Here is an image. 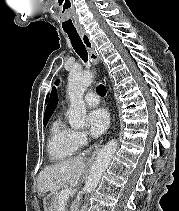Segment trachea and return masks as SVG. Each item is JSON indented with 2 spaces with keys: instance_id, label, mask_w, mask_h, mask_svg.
<instances>
[{
  "instance_id": "3493384b",
  "label": "trachea",
  "mask_w": 179,
  "mask_h": 211,
  "mask_svg": "<svg viewBox=\"0 0 179 211\" xmlns=\"http://www.w3.org/2000/svg\"><path fill=\"white\" fill-rule=\"evenodd\" d=\"M71 41L72 47L76 51V53L82 58L84 62L88 61V53L87 50L78 34L77 31H65ZM98 94L101 96H105L106 88L104 85H99L97 88Z\"/></svg>"
}]
</instances>
